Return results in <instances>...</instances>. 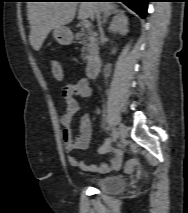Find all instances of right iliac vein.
<instances>
[{
    "label": "right iliac vein",
    "instance_id": "1",
    "mask_svg": "<svg viewBox=\"0 0 188 213\" xmlns=\"http://www.w3.org/2000/svg\"><path fill=\"white\" fill-rule=\"evenodd\" d=\"M119 137L123 141L127 135V128L124 124H120L119 129H118Z\"/></svg>",
    "mask_w": 188,
    "mask_h": 213
}]
</instances>
